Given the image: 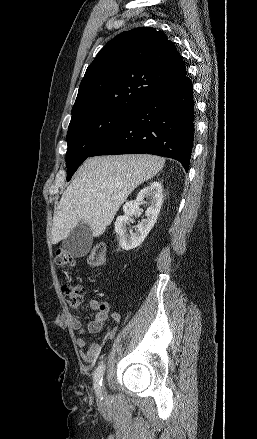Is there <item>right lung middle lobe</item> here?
<instances>
[{"instance_id":"1","label":"right lung middle lobe","mask_w":257,"mask_h":439,"mask_svg":"<svg viewBox=\"0 0 257 439\" xmlns=\"http://www.w3.org/2000/svg\"><path fill=\"white\" fill-rule=\"evenodd\" d=\"M131 113L124 110H95L71 118L67 133V181L96 146Z\"/></svg>"}]
</instances>
